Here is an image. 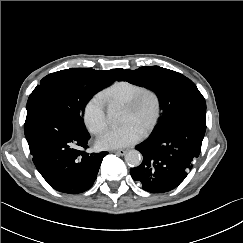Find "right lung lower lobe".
Here are the masks:
<instances>
[{"label": "right lung lower lobe", "mask_w": 243, "mask_h": 243, "mask_svg": "<svg viewBox=\"0 0 243 243\" xmlns=\"http://www.w3.org/2000/svg\"><path fill=\"white\" fill-rule=\"evenodd\" d=\"M24 132L33 162L55 190L78 194L90 189L108 152L88 154V132L61 111L44 105L27 108Z\"/></svg>", "instance_id": "obj_1"}]
</instances>
